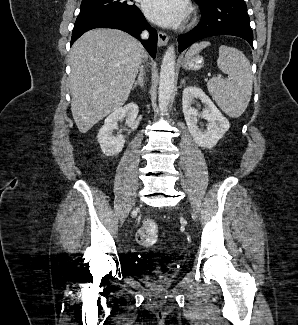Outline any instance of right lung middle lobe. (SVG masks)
<instances>
[{
    "label": "right lung middle lobe",
    "mask_w": 298,
    "mask_h": 325,
    "mask_svg": "<svg viewBox=\"0 0 298 325\" xmlns=\"http://www.w3.org/2000/svg\"><path fill=\"white\" fill-rule=\"evenodd\" d=\"M132 1V0H130ZM128 0H82L80 14L106 10H127L137 8Z\"/></svg>",
    "instance_id": "right-lung-middle-lobe-1"
}]
</instances>
